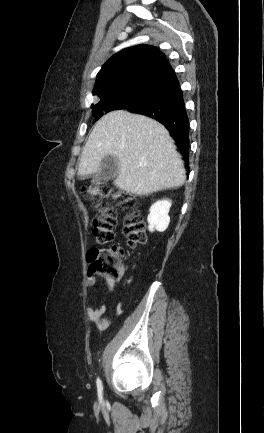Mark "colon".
I'll return each mask as SVG.
<instances>
[{
	"label": "colon",
	"instance_id": "colon-1",
	"mask_svg": "<svg viewBox=\"0 0 264 433\" xmlns=\"http://www.w3.org/2000/svg\"><path fill=\"white\" fill-rule=\"evenodd\" d=\"M83 194L93 201L98 210V216L93 222V235L97 245L106 248H93L89 252L91 272L105 278L116 280L122 273L121 257L123 250L113 244L114 227L117 214L113 206L103 202L105 198L112 197L116 205L131 209V213L125 217L123 232L127 238L129 247L135 248L146 241L145 225L136 208L135 197L127 192L113 190L107 185H93L85 188Z\"/></svg>",
	"mask_w": 264,
	"mask_h": 433
}]
</instances>
